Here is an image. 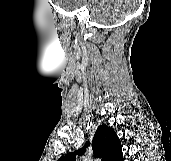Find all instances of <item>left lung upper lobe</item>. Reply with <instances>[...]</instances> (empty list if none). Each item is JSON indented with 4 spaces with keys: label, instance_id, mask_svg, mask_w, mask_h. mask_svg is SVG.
<instances>
[{
    "label": "left lung upper lobe",
    "instance_id": "left-lung-upper-lobe-1",
    "mask_svg": "<svg viewBox=\"0 0 171 161\" xmlns=\"http://www.w3.org/2000/svg\"><path fill=\"white\" fill-rule=\"evenodd\" d=\"M89 142L75 152L62 156L58 161H75L76 155H83ZM122 145L114 130L108 126L100 125L93 137L92 149L94 156L102 161H123Z\"/></svg>",
    "mask_w": 171,
    "mask_h": 161
}]
</instances>
